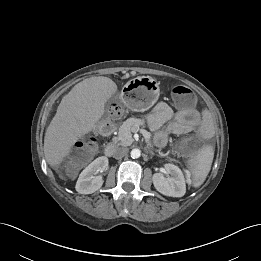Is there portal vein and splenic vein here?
Listing matches in <instances>:
<instances>
[{"label":"portal vein and splenic vein","mask_w":261,"mask_h":261,"mask_svg":"<svg viewBox=\"0 0 261 261\" xmlns=\"http://www.w3.org/2000/svg\"><path fill=\"white\" fill-rule=\"evenodd\" d=\"M141 132L145 135V137L150 138V136H151L150 132H148L146 130H141Z\"/></svg>","instance_id":"18ae733b"}]
</instances>
